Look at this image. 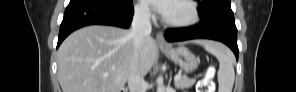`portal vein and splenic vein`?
Wrapping results in <instances>:
<instances>
[{
  "instance_id": "18ae733b",
  "label": "portal vein and splenic vein",
  "mask_w": 296,
  "mask_h": 92,
  "mask_svg": "<svg viewBox=\"0 0 296 92\" xmlns=\"http://www.w3.org/2000/svg\"><path fill=\"white\" fill-rule=\"evenodd\" d=\"M105 76H107V74H105ZM180 78H181V75L178 74V75H176V76L174 77V81L176 82V81H178Z\"/></svg>"
}]
</instances>
